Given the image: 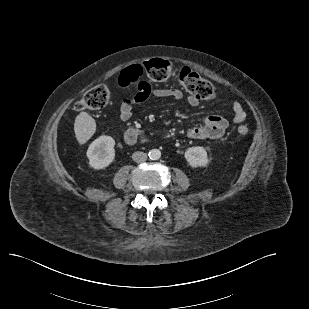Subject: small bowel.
I'll list each match as a JSON object with an SVG mask.
<instances>
[{
    "mask_svg": "<svg viewBox=\"0 0 309 309\" xmlns=\"http://www.w3.org/2000/svg\"><path fill=\"white\" fill-rule=\"evenodd\" d=\"M123 70L116 80V84L120 87H128L132 82L125 79ZM151 96L156 98H172L176 101L183 98V93L177 88H152L146 81L137 83V91L132 97H124L120 102V118L128 121L133 115V109L137 104L145 102ZM187 104L191 107H197L199 100L189 95L186 97ZM233 124H241L244 122L246 113L242 105L235 101L232 104ZM229 126V121L219 115H210L204 118L203 124L191 128L188 131V137L191 139H219L221 138ZM134 128H128L125 133V142L129 145L136 143L137 136L133 132Z\"/></svg>",
    "mask_w": 309,
    "mask_h": 309,
    "instance_id": "c3829d8e",
    "label": "small bowel"
}]
</instances>
